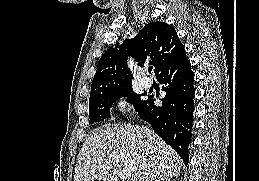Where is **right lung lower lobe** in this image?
<instances>
[{"label": "right lung lower lobe", "instance_id": "98d812e1", "mask_svg": "<svg viewBox=\"0 0 259 181\" xmlns=\"http://www.w3.org/2000/svg\"><path fill=\"white\" fill-rule=\"evenodd\" d=\"M156 78L165 91V96L161 99L162 106L154 105L153 96H150L138 111V116L148 122L155 133L187 164L195 109V89L194 75L185 51L166 65Z\"/></svg>", "mask_w": 259, "mask_h": 181}]
</instances>
